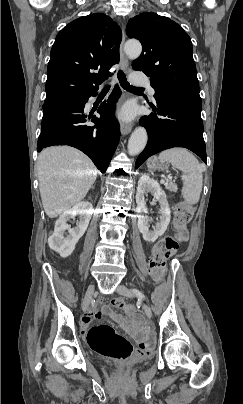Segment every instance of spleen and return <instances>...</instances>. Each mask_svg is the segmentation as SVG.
I'll return each mask as SVG.
<instances>
[{"label": "spleen", "instance_id": "3e777b00", "mask_svg": "<svg viewBox=\"0 0 243 404\" xmlns=\"http://www.w3.org/2000/svg\"><path fill=\"white\" fill-rule=\"evenodd\" d=\"M158 160L161 164L170 162L174 168L183 172L181 176L183 198L188 206L197 204L203 186L202 170L197 158L186 148H172V150L161 152Z\"/></svg>", "mask_w": 243, "mask_h": 404}]
</instances>
